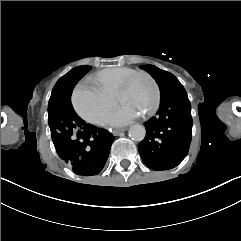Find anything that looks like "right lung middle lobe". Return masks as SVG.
Returning a JSON list of instances; mask_svg holds the SVG:
<instances>
[{
  "instance_id": "dd1d6c3e",
  "label": "right lung middle lobe",
  "mask_w": 241,
  "mask_h": 241,
  "mask_svg": "<svg viewBox=\"0 0 241 241\" xmlns=\"http://www.w3.org/2000/svg\"><path fill=\"white\" fill-rule=\"evenodd\" d=\"M74 69L65 74L55 84L48 103V123L51 130L53 143L64 131L61 120L63 112H73L74 109L70 102L72 92L67 88L68 78Z\"/></svg>"
}]
</instances>
